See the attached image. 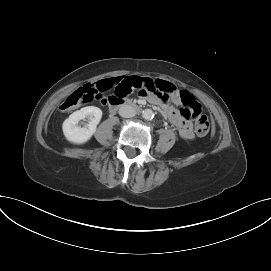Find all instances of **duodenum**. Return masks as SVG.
<instances>
[{
  "label": "duodenum",
  "instance_id": "410a0bca",
  "mask_svg": "<svg viewBox=\"0 0 271 271\" xmlns=\"http://www.w3.org/2000/svg\"><path fill=\"white\" fill-rule=\"evenodd\" d=\"M124 106L132 107L133 109H135L137 111L140 110V107L137 104H135V103H133V102H131L129 100H124L123 102H116L114 100V98L109 100V109H110V111H115L118 108L124 107Z\"/></svg>",
  "mask_w": 271,
  "mask_h": 271
}]
</instances>
